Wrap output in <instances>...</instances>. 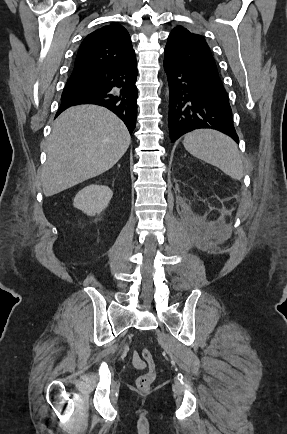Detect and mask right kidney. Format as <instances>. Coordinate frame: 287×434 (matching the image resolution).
I'll use <instances>...</instances> for the list:
<instances>
[{
	"mask_svg": "<svg viewBox=\"0 0 287 434\" xmlns=\"http://www.w3.org/2000/svg\"><path fill=\"white\" fill-rule=\"evenodd\" d=\"M112 190L105 185L90 184L80 190L74 198V207L89 216L100 214L112 198Z\"/></svg>",
	"mask_w": 287,
	"mask_h": 434,
	"instance_id": "1",
	"label": "right kidney"
}]
</instances>
